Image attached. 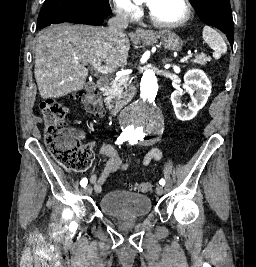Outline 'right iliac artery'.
I'll return each instance as SVG.
<instances>
[{
	"mask_svg": "<svg viewBox=\"0 0 256 267\" xmlns=\"http://www.w3.org/2000/svg\"><path fill=\"white\" fill-rule=\"evenodd\" d=\"M126 140H127V138L120 136V137L117 139V141L115 142V144H122V143L125 142ZM87 183H88L87 178H83V179L80 181V185H81L82 187H85V186L87 185Z\"/></svg>",
	"mask_w": 256,
	"mask_h": 267,
	"instance_id": "obj_1",
	"label": "right iliac artery"
}]
</instances>
